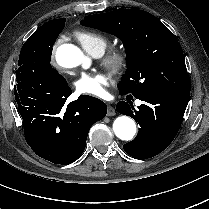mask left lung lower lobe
I'll list each match as a JSON object with an SVG mask.
<instances>
[{
  "mask_svg": "<svg viewBox=\"0 0 209 209\" xmlns=\"http://www.w3.org/2000/svg\"><path fill=\"white\" fill-rule=\"evenodd\" d=\"M145 102L136 110L125 101L116 110L139 123L138 136L123 148L136 159H148L162 152L175 138L182 124L190 93L153 88L135 96Z\"/></svg>",
  "mask_w": 209,
  "mask_h": 209,
  "instance_id": "0a47b994",
  "label": "left lung lower lobe"
}]
</instances>
